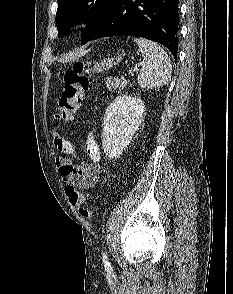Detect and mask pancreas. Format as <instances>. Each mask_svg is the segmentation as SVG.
<instances>
[{
    "instance_id": "cf45deb5",
    "label": "pancreas",
    "mask_w": 233,
    "mask_h": 294,
    "mask_svg": "<svg viewBox=\"0 0 233 294\" xmlns=\"http://www.w3.org/2000/svg\"><path fill=\"white\" fill-rule=\"evenodd\" d=\"M106 88L108 90H122L124 88H126L127 86V81L123 80V79H118V78H109L107 79L106 83Z\"/></svg>"
}]
</instances>
